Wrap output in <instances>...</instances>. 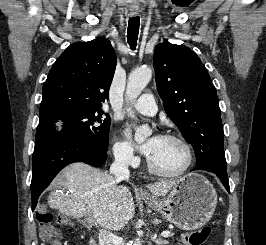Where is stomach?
<instances>
[{
	"label": "stomach",
	"instance_id": "0dacf381",
	"mask_svg": "<svg viewBox=\"0 0 266 245\" xmlns=\"http://www.w3.org/2000/svg\"><path fill=\"white\" fill-rule=\"evenodd\" d=\"M145 203L182 231H196L210 221L217 205V193L210 181L189 173L162 199L143 197Z\"/></svg>",
	"mask_w": 266,
	"mask_h": 245
}]
</instances>
